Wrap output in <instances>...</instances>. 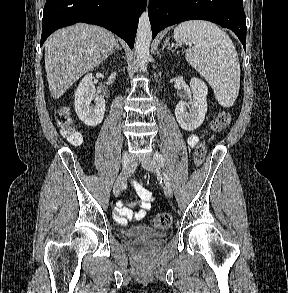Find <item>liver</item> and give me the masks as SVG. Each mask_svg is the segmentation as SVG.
Masks as SVG:
<instances>
[{
  "mask_svg": "<svg viewBox=\"0 0 288 293\" xmlns=\"http://www.w3.org/2000/svg\"><path fill=\"white\" fill-rule=\"evenodd\" d=\"M114 35L77 23L59 29L45 42V69L53 98H60L82 75L101 64L116 47Z\"/></svg>",
  "mask_w": 288,
  "mask_h": 293,
  "instance_id": "6515ba94",
  "label": "liver"
}]
</instances>
